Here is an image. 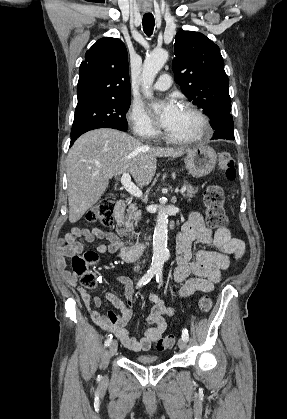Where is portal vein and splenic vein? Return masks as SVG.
<instances>
[{
    "instance_id": "obj_1",
    "label": "portal vein and splenic vein",
    "mask_w": 287,
    "mask_h": 419,
    "mask_svg": "<svg viewBox=\"0 0 287 419\" xmlns=\"http://www.w3.org/2000/svg\"><path fill=\"white\" fill-rule=\"evenodd\" d=\"M121 184L124 186L125 190L131 195L140 198L142 197V191L131 181V176L129 173H123L121 176ZM186 191V187L183 186L180 189V193L183 194Z\"/></svg>"
}]
</instances>
